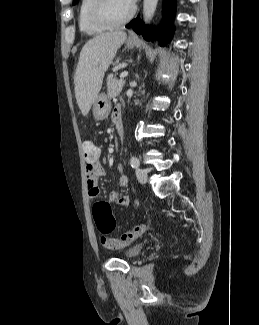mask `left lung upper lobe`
I'll list each match as a JSON object with an SVG mask.
<instances>
[{
	"label": "left lung upper lobe",
	"instance_id": "obj_1",
	"mask_svg": "<svg viewBox=\"0 0 259 325\" xmlns=\"http://www.w3.org/2000/svg\"><path fill=\"white\" fill-rule=\"evenodd\" d=\"M73 4H76V1L74 0Z\"/></svg>",
	"mask_w": 259,
	"mask_h": 325
}]
</instances>
